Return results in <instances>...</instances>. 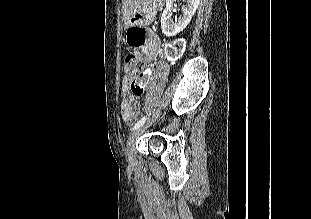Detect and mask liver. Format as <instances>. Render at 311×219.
Wrapping results in <instances>:
<instances>
[{
    "label": "liver",
    "instance_id": "obj_1",
    "mask_svg": "<svg viewBox=\"0 0 311 219\" xmlns=\"http://www.w3.org/2000/svg\"><path fill=\"white\" fill-rule=\"evenodd\" d=\"M138 0H123V17L128 21L133 10L137 7Z\"/></svg>",
    "mask_w": 311,
    "mask_h": 219
}]
</instances>
